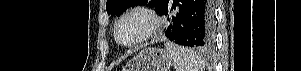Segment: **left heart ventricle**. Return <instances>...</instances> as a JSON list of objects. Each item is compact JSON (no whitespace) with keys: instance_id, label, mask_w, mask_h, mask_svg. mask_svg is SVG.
I'll list each match as a JSON object with an SVG mask.
<instances>
[{"instance_id":"left-heart-ventricle-1","label":"left heart ventricle","mask_w":301,"mask_h":71,"mask_svg":"<svg viewBox=\"0 0 301 71\" xmlns=\"http://www.w3.org/2000/svg\"><path fill=\"white\" fill-rule=\"evenodd\" d=\"M147 27V21L141 16L125 19L119 27V38L124 43H130L139 38Z\"/></svg>"}]
</instances>
